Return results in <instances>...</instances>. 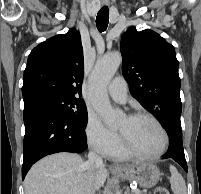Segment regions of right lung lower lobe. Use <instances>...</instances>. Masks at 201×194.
<instances>
[{
    "label": "right lung lower lobe",
    "instance_id": "1",
    "mask_svg": "<svg viewBox=\"0 0 201 194\" xmlns=\"http://www.w3.org/2000/svg\"><path fill=\"white\" fill-rule=\"evenodd\" d=\"M24 158L22 179L39 159L53 153L86 150L84 129L60 111L37 103L24 104Z\"/></svg>",
    "mask_w": 201,
    "mask_h": 194
}]
</instances>
